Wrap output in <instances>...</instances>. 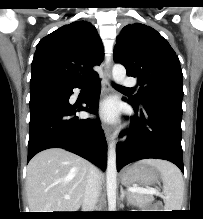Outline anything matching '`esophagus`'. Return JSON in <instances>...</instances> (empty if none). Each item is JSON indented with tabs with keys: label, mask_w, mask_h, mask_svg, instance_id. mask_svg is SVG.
Instances as JSON below:
<instances>
[{
	"label": "esophagus",
	"mask_w": 203,
	"mask_h": 219,
	"mask_svg": "<svg viewBox=\"0 0 203 219\" xmlns=\"http://www.w3.org/2000/svg\"><path fill=\"white\" fill-rule=\"evenodd\" d=\"M112 61L109 60L105 67L104 75L102 77L103 94L107 95L112 92V75H111ZM103 130L108 142L111 140V129L107 124H103Z\"/></svg>",
	"instance_id": "1"
}]
</instances>
